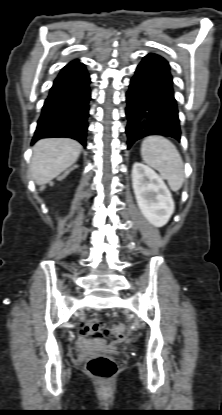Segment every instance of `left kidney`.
I'll return each mask as SVG.
<instances>
[{
  "label": "left kidney",
  "instance_id": "obj_1",
  "mask_svg": "<svg viewBox=\"0 0 222 415\" xmlns=\"http://www.w3.org/2000/svg\"><path fill=\"white\" fill-rule=\"evenodd\" d=\"M132 184L144 217L156 227L164 226L175 207L163 179L150 167L136 162L132 169Z\"/></svg>",
  "mask_w": 222,
  "mask_h": 415
}]
</instances>
